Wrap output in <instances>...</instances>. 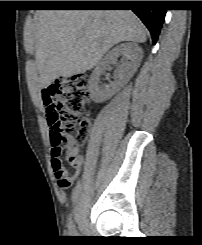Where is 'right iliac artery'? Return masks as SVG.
<instances>
[{
  "mask_svg": "<svg viewBox=\"0 0 202 245\" xmlns=\"http://www.w3.org/2000/svg\"><path fill=\"white\" fill-rule=\"evenodd\" d=\"M68 229H69L70 235H72V236H76L77 235L75 224H74L72 219H70V221L68 223Z\"/></svg>",
  "mask_w": 202,
  "mask_h": 245,
  "instance_id": "right-iliac-artery-1",
  "label": "right iliac artery"
}]
</instances>
